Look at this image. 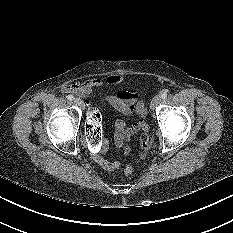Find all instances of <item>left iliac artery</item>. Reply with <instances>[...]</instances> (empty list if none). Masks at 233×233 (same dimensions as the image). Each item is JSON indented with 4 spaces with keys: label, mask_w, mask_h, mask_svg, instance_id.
<instances>
[{
    "label": "left iliac artery",
    "mask_w": 233,
    "mask_h": 233,
    "mask_svg": "<svg viewBox=\"0 0 233 233\" xmlns=\"http://www.w3.org/2000/svg\"><path fill=\"white\" fill-rule=\"evenodd\" d=\"M166 97H167V93L164 92V93L161 94L162 99H165Z\"/></svg>",
    "instance_id": "obj_1"
}]
</instances>
